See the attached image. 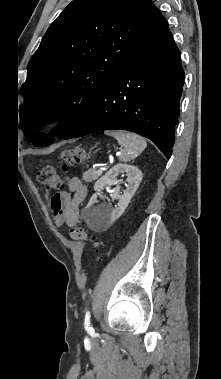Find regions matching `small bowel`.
Masks as SVG:
<instances>
[{
  "instance_id": "obj_1",
  "label": "small bowel",
  "mask_w": 221,
  "mask_h": 379,
  "mask_svg": "<svg viewBox=\"0 0 221 379\" xmlns=\"http://www.w3.org/2000/svg\"><path fill=\"white\" fill-rule=\"evenodd\" d=\"M50 212L57 225L75 226L79 221V205L86 197V187L78 177L67 181V190H49Z\"/></svg>"
}]
</instances>
